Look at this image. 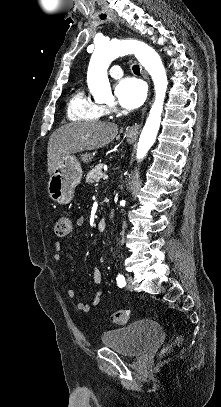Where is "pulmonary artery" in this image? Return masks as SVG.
Listing matches in <instances>:
<instances>
[{
    "label": "pulmonary artery",
    "mask_w": 221,
    "mask_h": 407,
    "mask_svg": "<svg viewBox=\"0 0 221 407\" xmlns=\"http://www.w3.org/2000/svg\"><path fill=\"white\" fill-rule=\"evenodd\" d=\"M109 74L113 78H120L123 76V70L119 65H114L110 68Z\"/></svg>",
    "instance_id": "e3ab8cb5"
}]
</instances>
